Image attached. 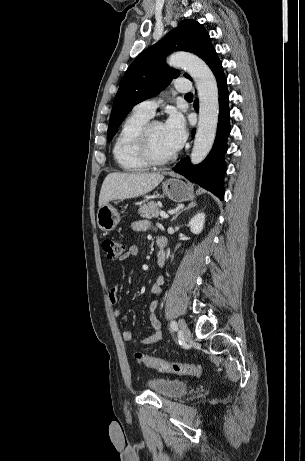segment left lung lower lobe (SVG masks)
Instances as JSON below:
<instances>
[{"label": "left lung lower lobe", "mask_w": 305, "mask_h": 461, "mask_svg": "<svg viewBox=\"0 0 305 461\" xmlns=\"http://www.w3.org/2000/svg\"><path fill=\"white\" fill-rule=\"evenodd\" d=\"M213 71L219 91V119L217 135L212 150L207 158L199 165H192L188 157H185L174 167V171L185 176L191 182L199 184L201 187L211 191L221 200L224 195L223 179L226 170L224 154L227 150V137L230 133V110L228 107L229 94L227 82L223 73L222 63L216 56L209 65ZM194 108L198 111V101H195ZM194 135V131H193Z\"/></svg>", "instance_id": "0a47b994"}]
</instances>
